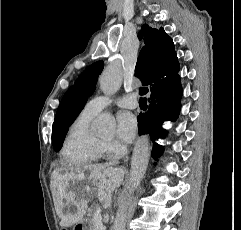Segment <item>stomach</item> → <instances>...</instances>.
I'll return each mask as SVG.
<instances>
[{
    "mask_svg": "<svg viewBox=\"0 0 241 230\" xmlns=\"http://www.w3.org/2000/svg\"><path fill=\"white\" fill-rule=\"evenodd\" d=\"M74 228L77 230H92V223L88 219H82Z\"/></svg>",
    "mask_w": 241,
    "mask_h": 230,
    "instance_id": "obj_1",
    "label": "stomach"
}]
</instances>
